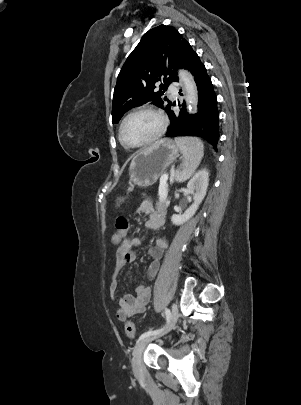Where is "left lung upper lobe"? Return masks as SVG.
<instances>
[{"instance_id": "1", "label": "left lung upper lobe", "mask_w": 301, "mask_h": 405, "mask_svg": "<svg viewBox=\"0 0 301 405\" xmlns=\"http://www.w3.org/2000/svg\"><path fill=\"white\" fill-rule=\"evenodd\" d=\"M195 51L182 35L170 26L160 25L149 30L124 63L114 89L112 122L117 124L129 109L151 102L166 106L164 92L173 81H178L176 70L186 68ZM162 82L159 90L155 83Z\"/></svg>"}]
</instances>
